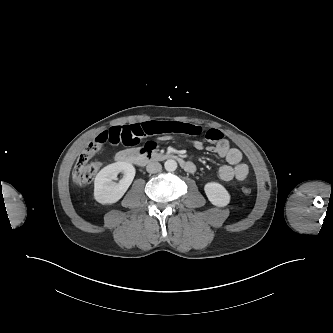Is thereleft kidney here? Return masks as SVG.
I'll list each match as a JSON object with an SVG mask.
<instances>
[{
    "mask_svg": "<svg viewBox=\"0 0 333 333\" xmlns=\"http://www.w3.org/2000/svg\"><path fill=\"white\" fill-rule=\"evenodd\" d=\"M209 201L217 207H225L230 202V194L226 188L217 182H209L204 186Z\"/></svg>",
    "mask_w": 333,
    "mask_h": 333,
    "instance_id": "1",
    "label": "left kidney"
}]
</instances>
